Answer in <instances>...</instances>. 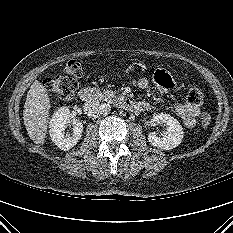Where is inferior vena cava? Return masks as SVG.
Segmentation results:
<instances>
[{
    "instance_id": "inferior-vena-cava-1",
    "label": "inferior vena cava",
    "mask_w": 233,
    "mask_h": 233,
    "mask_svg": "<svg viewBox=\"0 0 233 233\" xmlns=\"http://www.w3.org/2000/svg\"><path fill=\"white\" fill-rule=\"evenodd\" d=\"M84 112L90 118H97L100 114H102L103 104H100L99 101H87L84 104Z\"/></svg>"
}]
</instances>
